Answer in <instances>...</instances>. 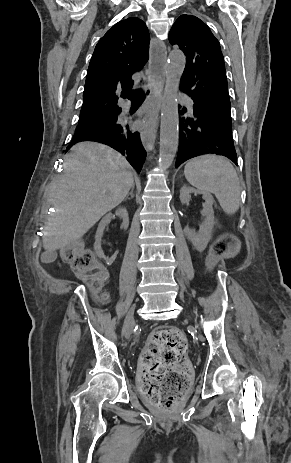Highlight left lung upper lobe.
<instances>
[{
	"instance_id": "left-lung-upper-lobe-1",
	"label": "left lung upper lobe",
	"mask_w": 291,
	"mask_h": 463,
	"mask_svg": "<svg viewBox=\"0 0 291 463\" xmlns=\"http://www.w3.org/2000/svg\"><path fill=\"white\" fill-rule=\"evenodd\" d=\"M169 41L186 55L181 89L209 112L231 120L224 58L208 26L195 16L181 15Z\"/></svg>"
}]
</instances>
